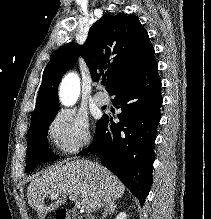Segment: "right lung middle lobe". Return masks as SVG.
<instances>
[{"instance_id": "dd1d6c3e", "label": "right lung middle lobe", "mask_w": 211, "mask_h": 219, "mask_svg": "<svg viewBox=\"0 0 211 219\" xmlns=\"http://www.w3.org/2000/svg\"><path fill=\"white\" fill-rule=\"evenodd\" d=\"M58 110L35 116L27 134L26 172L30 173L36 166L43 162L59 158L48 149L47 133L50 123Z\"/></svg>"}]
</instances>
